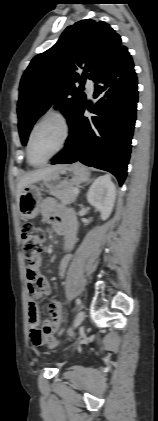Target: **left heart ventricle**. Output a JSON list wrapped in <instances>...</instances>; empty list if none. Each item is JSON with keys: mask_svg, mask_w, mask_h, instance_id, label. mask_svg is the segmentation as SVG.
I'll return each instance as SVG.
<instances>
[{"mask_svg": "<svg viewBox=\"0 0 158 421\" xmlns=\"http://www.w3.org/2000/svg\"><path fill=\"white\" fill-rule=\"evenodd\" d=\"M62 128L56 121H46L34 132L30 156L34 163H40L48 158L60 145Z\"/></svg>", "mask_w": 158, "mask_h": 421, "instance_id": "b2bd125f", "label": "left heart ventricle"}]
</instances>
